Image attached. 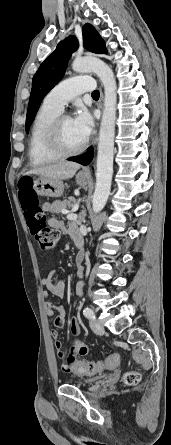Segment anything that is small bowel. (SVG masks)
Segmentation results:
<instances>
[{"instance_id": "1", "label": "small bowel", "mask_w": 171, "mask_h": 445, "mask_svg": "<svg viewBox=\"0 0 171 445\" xmlns=\"http://www.w3.org/2000/svg\"><path fill=\"white\" fill-rule=\"evenodd\" d=\"M44 210L52 212L55 211L57 209V204L56 203H50V202H46L43 205ZM48 223L51 227L57 229V230H63L64 229V225L63 223L54 218L51 217L48 220ZM69 232L72 236L74 235H80L79 230L75 227V226H70L69 227ZM78 258V256H77ZM79 275L82 276V269H80L79 271ZM41 284L43 287H45L47 289V291L44 292V297L47 298L48 297V293H51L54 296L57 297H64L65 295V291H66V284L64 281L59 280L56 278V274L54 272H51L50 274H48L46 277H44L41 280ZM45 311L46 314L50 317H53V326L55 329L52 330L51 332V336L52 339L54 341V346L55 349L57 351V354L60 357H65V363L62 364V369L66 372L70 371L75 363V353L77 352L76 346L73 345L72 350L70 351V353L65 354L63 347H62V342L60 341L59 338V333L57 332L56 329L63 327L64 323H65V317H66V311L65 308L63 306H58V305H54L52 302L50 301H46L45 302ZM70 332L77 336L80 333V327L79 324L77 322L76 318H72L70 321ZM79 354V353H78ZM116 356V361L113 364H108L107 366L111 369H115L118 366V362H119V356L114 354Z\"/></svg>"}]
</instances>
